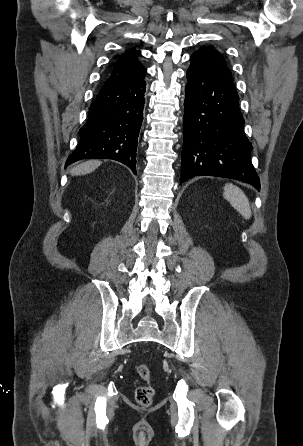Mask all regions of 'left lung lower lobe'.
<instances>
[{"instance_id": "obj_1", "label": "left lung lower lobe", "mask_w": 303, "mask_h": 446, "mask_svg": "<svg viewBox=\"0 0 303 446\" xmlns=\"http://www.w3.org/2000/svg\"><path fill=\"white\" fill-rule=\"evenodd\" d=\"M190 60L180 182L209 175L237 179L260 190L233 78L202 56L192 55Z\"/></svg>"}]
</instances>
